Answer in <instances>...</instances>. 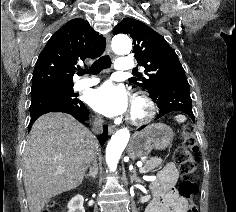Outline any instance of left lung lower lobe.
<instances>
[{
	"instance_id": "left-lung-lower-lobe-1",
	"label": "left lung lower lobe",
	"mask_w": 236,
	"mask_h": 212,
	"mask_svg": "<svg viewBox=\"0 0 236 212\" xmlns=\"http://www.w3.org/2000/svg\"><path fill=\"white\" fill-rule=\"evenodd\" d=\"M151 98L160 109L157 118L173 111H181L194 121L190 87L186 77L163 86L158 95Z\"/></svg>"
}]
</instances>
